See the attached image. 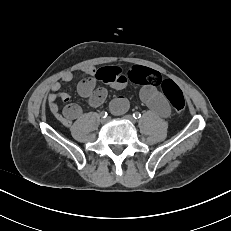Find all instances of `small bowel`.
<instances>
[{
  "label": "small bowel",
  "mask_w": 231,
  "mask_h": 231,
  "mask_svg": "<svg viewBox=\"0 0 231 231\" xmlns=\"http://www.w3.org/2000/svg\"><path fill=\"white\" fill-rule=\"evenodd\" d=\"M74 75L71 72H65L60 80L51 85V93L47 100L50 112L65 127H70L76 119L82 115V109L79 105L69 103L70 96L62 91L63 82H69ZM99 82H105L117 90L123 89L128 82V74L119 67H89L84 70V75L79 81L77 90L81 97L88 100L92 107L100 106L107 97V91L104 88L97 87ZM140 98L154 113L159 116L167 117L170 114L169 103L162 92L155 86L144 85L139 92ZM58 99L66 103L63 110H60ZM129 104L125 98L114 99L110 108L114 114H122L128 110Z\"/></svg>",
  "instance_id": "small-bowel-1"
}]
</instances>
